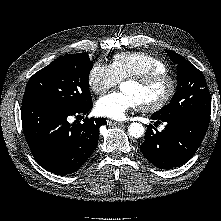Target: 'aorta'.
<instances>
[{
  "label": "aorta",
  "mask_w": 221,
  "mask_h": 221,
  "mask_svg": "<svg viewBox=\"0 0 221 221\" xmlns=\"http://www.w3.org/2000/svg\"><path fill=\"white\" fill-rule=\"evenodd\" d=\"M128 132H129L130 136H132L134 138H139V137L143 136L145 129L142 124L137 123V122H133L129 125Z\"/></svg>",
  "instance_id": "762f6f07"
}]
</instances>
